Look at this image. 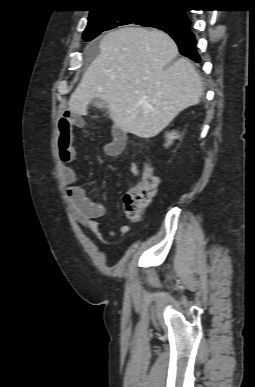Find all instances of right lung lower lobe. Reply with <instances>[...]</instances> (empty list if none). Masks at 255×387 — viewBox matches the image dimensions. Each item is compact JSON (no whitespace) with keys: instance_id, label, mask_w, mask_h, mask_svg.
Returning <instances> with one entry per match:
<instances>
[{"instance_id":"right-lung-lower-lobe-1","label":"right lung lower lobe","mask_w":255,"mask_h":387,"mask_svg":"<svg viewBox=\"0 0 255 387\" xmlns=\"http://www.w3.org/2000/svg\"><path fill=\"white\" fill-rule=\"evenodd\" d=\"M168 33L177 43L179 51L182 55L192 59L199 63L200 56L196 51V40L195 36L191 31V25L182 28H169L161 29Z\"/></svg>"}]
</instances>
